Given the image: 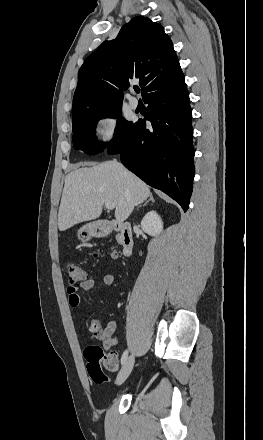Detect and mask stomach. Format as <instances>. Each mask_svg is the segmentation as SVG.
Instances as JSON below:
<instances>
[{
  "instance_id": "obj_1",
  "label": "stomach",
  "mask_w": 263,
  "mask_h": 440,
  "mask_svg": "<svg viewBox=\"0 0 263 440\" xmlns=\"http://www.w3.org/2000/svg\"><path fill=\"white\" fill-rule=\"evenodd\" d=\"M96 225L95 224H88L84 226L80 232L85 233L86 235L90 236L96 233Z\"/></svg>"
}]
</instances>
